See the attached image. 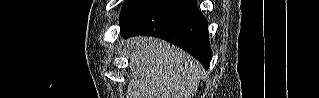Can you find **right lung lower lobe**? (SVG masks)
I'll return each mask as SVG.
<instances>
[{"label":"right lung lower lobe","instance_id":"right-lung-lower-lobe-1","mask_svg":"<svg viewBox=\"0 0 319 98\" xmlns=\"http://www.w3.org/2000/svg\"><path fill=\"white\" fill-rule=\"evenodd\" d=\"M121 36H155L188 51L206 69L212 59L207 21L195 0H150L121 21Z\"/></svg>","mask_w":319,"mask_h":98}]
</instances>
